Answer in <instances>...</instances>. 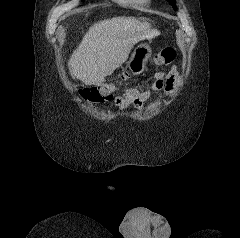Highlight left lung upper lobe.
<instances>
[{
  "mask_svg": "<svg viewBox=\"0 0 240 238\" xmlns=\"http://www.w3.org/2000/svg\"><path fill=\"white\" fill-rule=\"evenodd\" d=\"M167 1L171 3V5L174 9H176V1L175 0H167Z\"/></svg>",
  "mask_w": 240,
  "mask_h": 238,
  "instance_id": "5c2ea615",
  "label": "left lung upper lobe"
}]
</instances>
